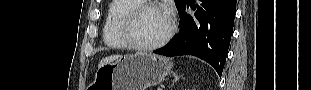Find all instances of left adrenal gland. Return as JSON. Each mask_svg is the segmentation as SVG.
Returning a JSON list of instances; mask_svg holds the SVG:
<instances>
[{
	"mask_svg": "<svg viewBox=\"0 0 311 90\" xmlns=\"http://www.w3.org/2000/svg\"><path fill=\"white\" fill-rule=\"evenodd\" d=\"M173 77H174V81L171 86H173L174 83L177 82L181 78V76H178L176 73L173 74Z\"/></svg>",
	"mask_w": 311,
	"mask_h": 90,
	"instance_id": "obj_1",
	"label": "left adrenal gland"
}]
</instances>
